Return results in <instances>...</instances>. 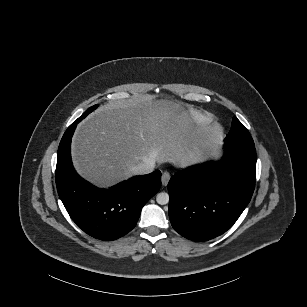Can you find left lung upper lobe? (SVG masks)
I'll return each instance as SVG.
<instances>
[{"instance_id": "left-lung-upper-lobe-1", "label": "left lung upper lobe", "mask_w": 307, "mask_h": 307, "mask_svg": "<svg viewBox=\"0 0 307 307\" xmlns=\"http://www.w3.org/2000/svg\"><path fill=\"white\" fill-rule=\"evenodd\" d=\"M225 141L254 143L246 127L236 117L232 120V128L226 136Z\"/></svg>"}]
</instances>
